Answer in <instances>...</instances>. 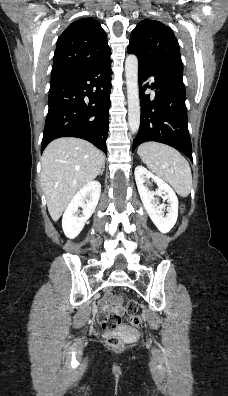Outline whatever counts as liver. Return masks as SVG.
<instances>
[{"label":"liver","instance_id":"6515ba94","mask_svg":"<svg viewBox=\"0 0 228 396\" xmlns=\"http://www.w3.org/2000/svg\"><path fill=\"white\" fill-rule=\"evenodd\" d=\"M103 153L79 138H59L44 150L41 187L48 211L57 221L75 194L94 180L104 165Z\"/></svg>","mask_w":228,"mask_h":396}]
</instances>
